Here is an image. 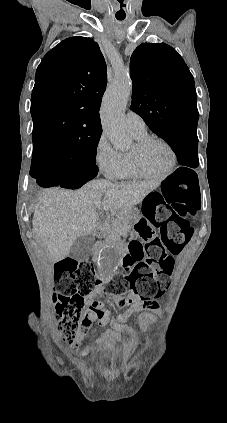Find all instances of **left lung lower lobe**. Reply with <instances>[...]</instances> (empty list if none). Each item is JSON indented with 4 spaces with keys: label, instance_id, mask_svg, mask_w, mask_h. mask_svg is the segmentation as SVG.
Masks as SVG:
<instances>
[{
    "label": "left lung lower lobe",
    "instance_id": "0a47b994",
    "mask_svg": "<svg viewBox=\"0 0 227 423\" xmlns=\"http://www.w3.org/2000/svg\"><path fill=\"white\" fill-rule=\"evenodd\" d=\"M173 151L175 152L178 162L181 165H185L191 168H196L199 165L197 147L198 138L197 135L184 136L175 138L168 143ZM188 174L196 175V173L189 168H179L174 175Z\"/></svg>",
    "mask_w": 227,
    "mask_h": 423
}]
</instances>
